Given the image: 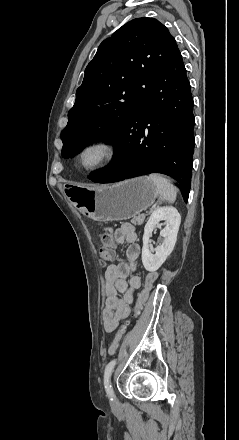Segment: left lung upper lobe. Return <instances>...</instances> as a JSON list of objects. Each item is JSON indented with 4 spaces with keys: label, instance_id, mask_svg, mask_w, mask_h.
Returning a JSON list of instances; mask_svg holds the SVG:
<instances>
[{
    "label": "left lung upper lobe",
    "instance_id": "5c2ea615",
    "mask_svg": "<svg viewBox=\"0 0 239 440\" xmlns=\"http://www.w3.org/2000/svg\"><path fill=\"white\" fill-rule=\"evenodd\" d=\"M175 47L168 29L146 17L129 21L104 40L85 69L61 132L62 156L73 157L95 141H113Z\"/></svg>",
    "mask_w": 239,
    "mask_h": 440
}]
</instances>
